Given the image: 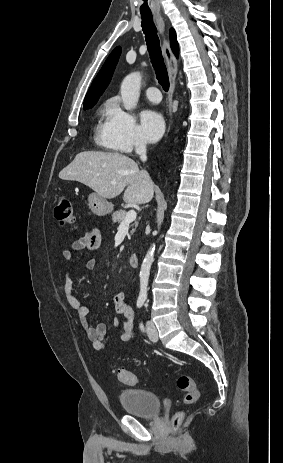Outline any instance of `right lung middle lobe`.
<instances>
[{"mask_svg":"<svg viewBox=\"0 0 283 463\" xmlns=\"http://www.w3.org/2000/svg\"><path fill=\"white\" fill-rule=\"evenodd\" d=\"M94 105H95V104L83 106V109L86 110V109L92 108Z\"/></svg>","mask_w":283,"mask_h":463,"instance_id":"right-lung-middle-lobe-1","label":"right lung middle lobe"}]
</instances>
